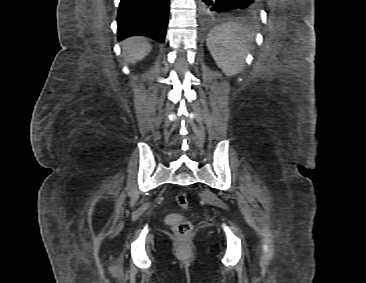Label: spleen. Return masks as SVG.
I'll list each match as a JSON object with an SVG mask.
<instances>
[{
    "instance_id": "spleen-1",
    "label": "spleen",
    "mask_w": 366,
    "mask_h": 283,
    "mask_svg": "<svg viewBox=\"0 0 366 283\" xmlns=\"http://www.w3.org/2000/svg\"><path fill=\"white\" fill-rule=\"evenodd\" d=\"M251 35L242 25L230 22L215 27L207 38V47L225 75L234 76L244 67Z\"/></svg>"
}]
</instances>
